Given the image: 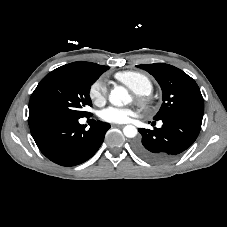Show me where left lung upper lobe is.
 <instances>
[{
    "instance_id": "left-lung-upper-lobe-1",
    "label": "left lung upper lobe",
    "mask_w": 227,
    "mask_h": 227,
    "mask_svg": "<svg viewBox=\"0 0 227 227\" xmlns=\"http://www.w3.org/2000/svg\"><path fill=\"white\" fill-rule=\"evenodd\" d=\"M136 67L153 75L162 89L163 103L154 120L183 114L203 116L204 101L200 89L182 70L165 63L141 64Z\"/></svg>"
}]
</instances>
